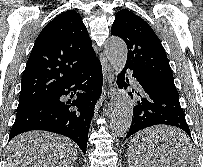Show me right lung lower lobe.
Instances as JSON below:
<instances>
[{"label": "right lung lower lobe", "mask_w": 203, "mask_h": 167, "mask_svg": "<svg viewBox=\"0 0 203 167\" xmlns=\"http://www.w3.org/2000/svg\"><path fill=\"white\" fill-rule=\"evenodd\" d=\"M102 81V67L97 59L69 78L48 101L18 110L9 140L27 131L45 130L69 137L85 154L95 104L102 92ZM70 92L71 97L76 96V99L62 102L60 97ZM73 106L78 109L73 110Z\"/></svg>", "instance_id": "1"}]
</instances>
